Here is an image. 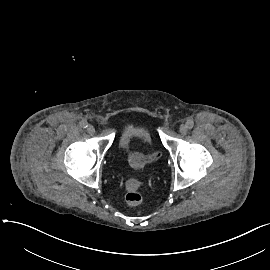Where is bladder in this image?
Wrapping results in <instances>:
<instances>
[{
  "label": "bladder",
  "mask_w": 270,
  "mask_h": 270,
  "mask_svg": "<svg viewBox=\"0 0 270 270\" xmlns=\"http://www.w3.org/2000/svg\"><path fill=\"white\" fill-rule=\"evenodd\" d=\"M146 140L152 141L153 135L150 131H146L142 134ZM128 140L125 141L124 145L126 146ZM126 165L133 171L138 172L141 174L144 170L151 164V156L146 151H129L126 156Z\"/></svg>",
  "instance_id": "obj_1"
}]
</instances>
